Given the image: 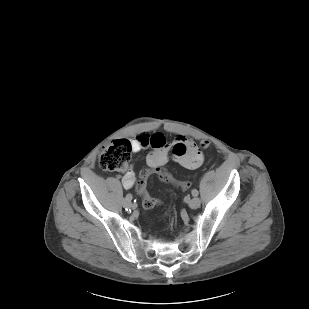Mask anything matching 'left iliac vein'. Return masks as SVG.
<instances>
[{"mask_svg": "<svg viewBox=\"0 0 309 309\" xmlns=\"http://www.w3.org/2000/svg\"><path fill=\"white\" fill-rule=\"evenodd\" d=\"M200 204H201V200L198 197H194L193 199L189 201V207L191 209H197L200 206Z\"/></svg>", "mask_w": 309, "mask_h": 309, "instance_id": "1", "label": "left iliac vein"}]
</instances>
